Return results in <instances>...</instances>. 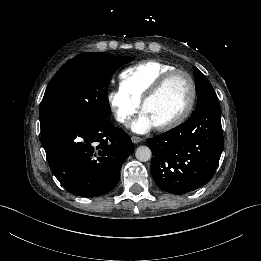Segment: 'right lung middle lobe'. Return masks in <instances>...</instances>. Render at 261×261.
Masks as SVG:
<instances>
[{
	"instance_id": "dd1d6c3e",
	"label": "right lung middle lobe",
	"mask_w": 261,
	"mask_h": 261,
	"mask_svg": "<svg viewBox=\"0 0 261 261\" xmlns=\"http://www.w3.org/2000/svg\"><path fill=\"white\" fill-rule=\"evenodd\" d=\"M131 60L88 52L66 62L52 78L41 102V133L59 122L106 119L110 114V79Z\"/></svg>"
}]
</instances>
